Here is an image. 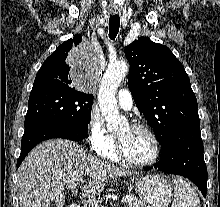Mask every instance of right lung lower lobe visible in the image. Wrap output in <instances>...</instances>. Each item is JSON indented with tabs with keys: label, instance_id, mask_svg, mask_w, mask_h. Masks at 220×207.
I'll use <instances>...</instances> for the list:
<instances>
[{
	"label": "right lung lower lobe",
	"instance_id": "obj_1",
	"mask_svg": "<svg viewBox=\"0 0 220 207\" xmlns=\"http://www.w3.org/2000/svg\"><path fill=\"white\" fill-rule=\"evenodd\" d=\"M87 129L83 126H73L53 123H32L25 127L21 141V153L17 160V167L20 166L28 152L41 141L52 138H64L73 141H80L87 135Z\"/></svg>",
	"mask_w": 220,
	"mask_h": 207
}]
</instances>
